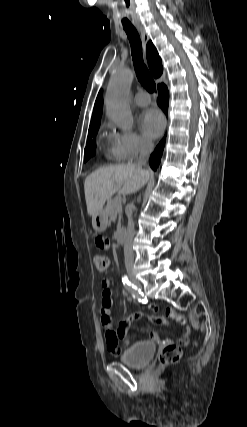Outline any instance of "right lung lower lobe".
<instances>
[{
    "instance_id": "obj_1",
    "label": "right lung lower lobe",
    "mask_w": 247,
    "mask_h": 427,
    "mask_svg": "<svg viewBox=\"0 0 247 427\" xmlns=\"http://www.w3.org/2000/svg\"><path fill=\"white\" fill-rule=\"evenodd\" d=\"M158 91H159V96H158V105L162 108V110L164 111V113L166 115H168V102H169V93H168V89L166 87V85L159 84L158 85ZM165 145V137L161 140V142L158 144V146L155 148L154 152L152 153L151 157H150V166L153 170H156L159 163H160V159L163 153V148Z\"/></svg>"
}]
</instances>
